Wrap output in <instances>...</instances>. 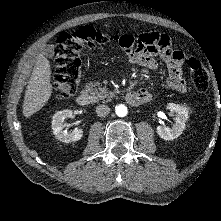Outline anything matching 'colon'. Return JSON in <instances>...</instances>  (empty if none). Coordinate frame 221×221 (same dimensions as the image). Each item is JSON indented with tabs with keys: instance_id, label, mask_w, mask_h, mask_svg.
I'll list each match as a JSON object with an SVG mask.
<instances>
[{
	"instance_id": "obj_1",
	"label": "colon",
	"mask_w": 221,
	"mask_h": 221,
	"mask_svg": "<svg viewBox=\"0 0 221 221\" xmlns=\"http://www.w3.org/2000/svg\"><path fill=\"white\" fill-rule=\"evenodd\" d=\"M113 40L120 44L126 38L123 35L107 36L90 26L59 35L55 48L56 77L53 86L60 98H69L77 90L81 77V52L84 49L98 48ZM189 65L194 88L198 92H205L209 87L207 69L196 58H190Z\"/></svg>"
}]
</instances>
